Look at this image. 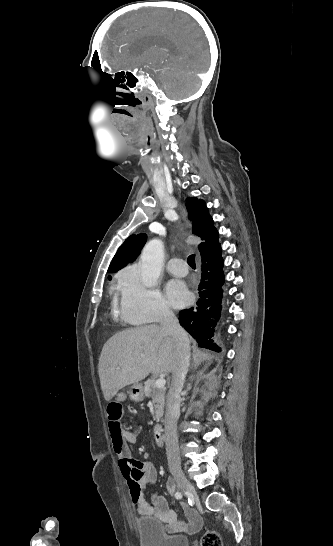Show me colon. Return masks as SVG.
Instances as JSON below:
<instances>
[{"label":"colon","instance_id":"obj_1","mask_svg":"<svg viewBox=\"0 0 333 546\" xmlns=\"http://www.w3.org/2000/svg\"><path fill=\"white\" fill-rule=\"evenodd\" d=\"M119 400H112L107 404L105 411L110 422H117L124 416V409ZM204 546H221V538L216 532H209L203 540Z\"/></svg>","mask_w":333,"mask_h":546}]
</instances>
